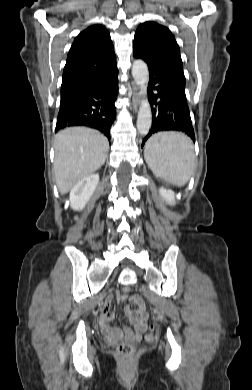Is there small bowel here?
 Listing matches in <instances>:
<instances>
[{"mask_svg":"<svg viewBox=\"0 0 252 390\" xmlns=\"http://www.w3.org/2000/svg\"><path fill=\"white\" fill-rule=\"evenodd\" d=\"M115 295L122 301L126 300V296L120 295L118 292L107 296V298L105 299L102 317H101L102 322L104 324H107L114 317V314L110 311V306H111L112 300H113ZM134 301L138 305V309L133 310L129 306H126L124 308V312L130 320V323L133 327L134 334L137 337H140L147 330L148 313H147L146 306L144 305V303L142 302V300L140 298L134 299ZM122 332L126 335H129L132 333V331L129 328H123Z\"/></svg>","mask_w":252,"mask_h":390,"instance_id":"1","label":"small bowel"}]
</instances>
